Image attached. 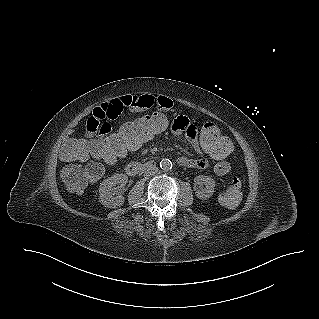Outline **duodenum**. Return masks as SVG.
Instances as JSON below:
<instances>
[{"instance_id": "obj_1", "label": "duodenum", "mask_w": 319, "mask_h": 319, "mask_svg": "<svg viewBox=\"0 0 319 319\" xmlns=\"http://www.w3.org/2000/svg\"><path fill=\"white\" fill-rule=\"evenodd\" d=\"M154 167V163L146 162H130L126 165V172L130 176H137L145 171L151 170Z\"/></svg>"}]
</instances>
